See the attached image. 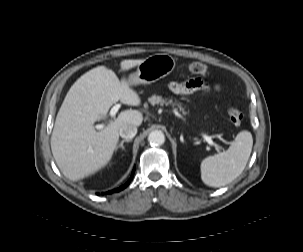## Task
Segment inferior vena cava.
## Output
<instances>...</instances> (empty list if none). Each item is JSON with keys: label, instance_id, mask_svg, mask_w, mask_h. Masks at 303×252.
<instances>
[{"label": "inferior vena cava", "instance_id": "602c4592", "mask_svg": "<svg viewBox=\"0 0 303 252\" xmlns=\"http://www.w3.org/2000/svg\"><path fill=\"white\" fill-rule=\"evenodd\" d=\"M120 136L125 139H132L137 134V127L134 125H124L119 130Z\"/></svg>", "mask_w": 303, "mask_h": 252}]
</instances>
